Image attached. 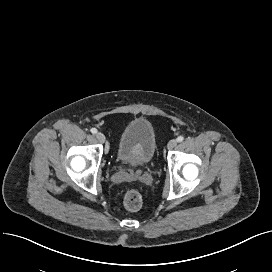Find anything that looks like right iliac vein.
Wrapping results in <instances>:
<instances>
[{"label": "right iliac vein", "mask_w": 272, "mask_h": 272, "mask_svg": "<svg viewBox=\"0 0 272 272\" xmlns=\"http://www.w3.org/2000/svg\"><path fill=\"white\" fill-rule=\"evenodd\" d=\"M96 138L100 143H104L105 142V136L103 133L101 132H97L96 133Z\"/></svg>", "instance_id": "obj_1"}]
</instances>
